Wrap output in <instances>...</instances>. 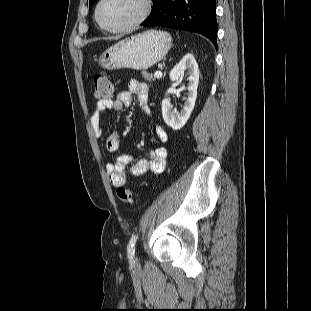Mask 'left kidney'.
Wrapping results in <instances>:
<instances>
[{
  "mask_svg": "<svg viewBox=\"0 0 311 311\" xmlns=\"http://www.w3.org/2000/svg\"><path fill=\"white\" fill-rule=\"evenodd\" d=\"M188 77V94L185 98L184 107L180 112L173 109L170 98L165 97L162 101V116L165 123L173 130L181 129L189 119L195 106L197 88L199 83L198 64L192 54H186L178 64L170 71V80L176 82L185 73ZM169 93V91H168ZM166 93V95L168 94Z\"/></svg>",
  "mask_w": 311,
  "mask_h": 311,
  "instance_id": "obj_1",
  "label": "left kidney"
}]
</instances>
